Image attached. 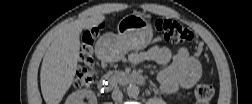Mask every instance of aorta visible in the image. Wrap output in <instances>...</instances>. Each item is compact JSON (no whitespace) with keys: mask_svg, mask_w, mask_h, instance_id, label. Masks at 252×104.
I'll return each mask as SVG.
<instances>
[{"mask_svg":"<svg viewBox=\"0 0 252 104\" xmlns=\"http://www.w3.org/2000/svg\"><path fill=\"white\" fill-rule=\"evenodd\" d=\"M126 93L130 98H136L140 93V89L136 85H129L126 89Z\"/></svg>","mask_w":252,"mask_h":104,"instance_id":"obj_1","label":"aorta"}]
</instances>
